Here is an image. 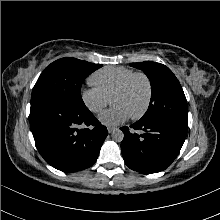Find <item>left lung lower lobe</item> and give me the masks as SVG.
Returning <instances> with one entry per match:
<instances>
[{"label": "left lung lower lobe", "mask_w": 220, "mask_h": 220, "mask_svg": "<svg viewBox=\"0 0 220 220\" xmlns=\"http://www.w3.org/2000/svg\"><path fill=\"white\" fill-rule=\"evenodd\" d=\"M120 129L124 133L121 151L126 165L144 174L165 170L179 154L188 130L169 120L137 121L130 128Z\"/></svg>", "instance_id": "left-lung-lower-lobe-1"}]
</instances>
